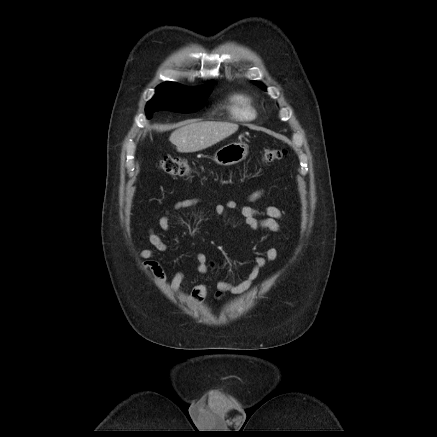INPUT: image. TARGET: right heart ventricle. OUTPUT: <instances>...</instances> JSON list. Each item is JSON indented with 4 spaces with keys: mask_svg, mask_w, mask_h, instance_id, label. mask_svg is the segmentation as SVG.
Returning <instances> with one entry per match:
<instances>
[{
    "mask_svg": "<svg viewBox=\"0 0 437 437\" xmlns=\"http://www.w3.org/2000/svg\"><path fill=\"white\" fill-rule=\"evenodd\" d=\"M230 112L238 120L251 121L256 117L252 99L244 94H235L230 98Z\"/></svg>",
    "mask_w": 437,
    "mask_h": 437,
    "instance_id": "e07e8e85",
    "label": "right heart ventricle"
}]
</instances>
